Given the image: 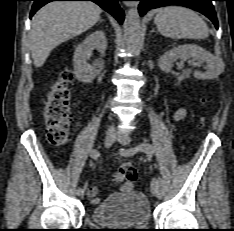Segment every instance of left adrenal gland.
Masks as SVG:
<instances>
[{"label":"left adrenal gland","mask_w":234,"mask_h":231,"mask_svg":"<svg viewBox=\"0 0 234 231\" xmlns=\"http://www.w3.org/2000/svg\"><path fill=\"white\" fill-rule=\"evenodd\" d=\"M156 31H155V29L153 28L152 30H151V33H155Z\"/></svg>","instance_id":"1"}]
</instances>
